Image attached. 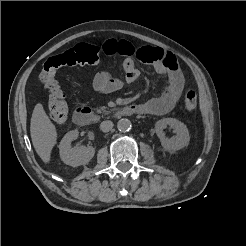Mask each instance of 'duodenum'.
<instances>
[{
  "label": "duodenum",
  "mask_w": 246,
  "mask_h": 246,
  "mask_svg": "<svg viewBox=\"0 0 246 246\" xmlns=\"http://www.w3.org/2000/svg\"><path fill=\"white\" fill-rule=\"evenodd\" d=\"M141 107L139 104H131L122 107L118 111L120 116H130L133 114H140ZM95 120V115L92 110L87 106L78 107L73 114V122L78 126H86Z\"/></svg>",
  "instance_id": "410a0bca"
}]
</instances>
